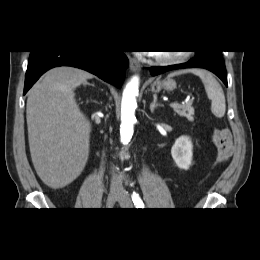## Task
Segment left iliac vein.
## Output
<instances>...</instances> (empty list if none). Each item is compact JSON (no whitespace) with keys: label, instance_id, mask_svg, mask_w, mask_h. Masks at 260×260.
<instances>
[{"label":"left iliac vein","instance_id":"obj_1","mask_svg":"<svg viewBox=\"0 0 260 260\" xmlns=\"http://www.w3.org/2000/svg\"><path fill=\"white\" fill-rule=\"evenodd\" d=\"M118 202L123 208H131L133 206L129 195L126 192H122L120 194V197L118 198Z\"/></svg>","mask_w":260,"mask_h":260}]
</instances>
